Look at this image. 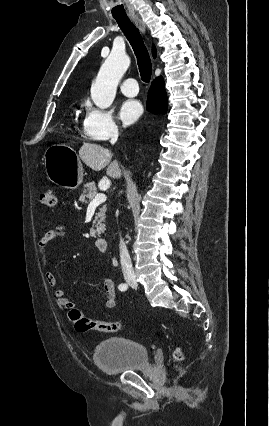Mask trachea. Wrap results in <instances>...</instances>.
Segmentation results:
<instances>
[{"label":"trachea","instance_id":"3493384b","mask_svg":"<svg viewBox=\"0 0 269 426\" xmlns=\"http://www.w3.org/2000/svg\"><path fill=\"white\" fill-rule=\"evenodd\" d=\"M115 19L134 50L141 79L148 83L152 74V64L139 30L127 17Z\"/></svg>","mask_w":269,"mask_h":426}]
</instances>
